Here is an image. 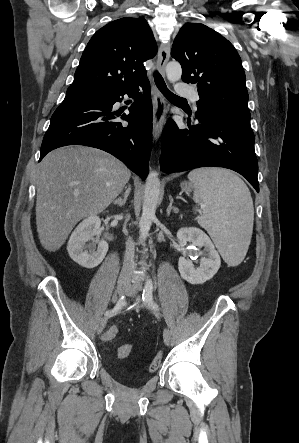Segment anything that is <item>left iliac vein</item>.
Returning <instances> with one entry per match:
<instances>
[{
	"label": "left iliac vein",
	"instance_id": "obj_1",
	"mask_svg": "<svg viewBox=\"0 0 299 443\" xmlns=\"http://www.w3.org/2000/svg\"><path fill=\"white\" fill-rule=\"evenodd\" d=\"M141 289H142V287H141L140 284L136 283V284L130 285L128 287V289H127V294L130 295V296H136L138 291H140ZM144 305L146 307L150 308V306L146 302H144ZM163 339H164V343L166 345H169L170 339H171V333H170V331L167 328L164 329Z\"/></svg>",
	"mask_w": 299,
	"mask_h": 443
}]
</instances>
